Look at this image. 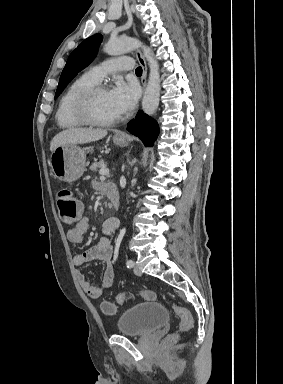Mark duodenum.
I'll list each match as a JSON object with an SVG mask.
<instances>
[{"instance_id": "410a0bca", "label": "duodenum", "mask_w": 283, "mask_h": 384, "mask_svg": "<svg viewBox=\"0 0 283 384\" xmlns=\"http://www.w3.org/2000/svg\"><path fill=\"white\" fill-rule=\"evenodd\" d=\"M105 194L108 196L114 210L120 207V197L117 187L114 184H106L104 186Z\"/></svg>"}]
</instances>
